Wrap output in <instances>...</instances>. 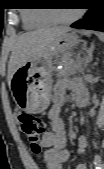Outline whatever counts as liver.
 <instances>
[{
    "instance_id": "6515ba94",
    "label": "liver",
    "mask_w": 104,
    "mask_h": 169,
    "mask_svg": "<svg viewBox=\"0 0 104 169\" xmlns=\"http://www.w3.org/2000/svg\"><path fill=\"white\" fill-rule=\"evenodd\" d=\"M71 31L67 26L44 27L21 34L14 41L8 64L7 81L10 82L16 70L31 61L60 35Z\"/></svg>"
}]
</instances>
